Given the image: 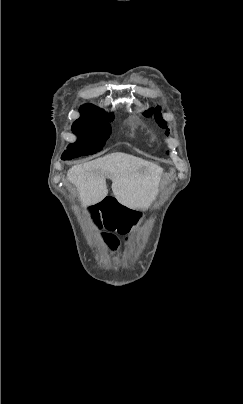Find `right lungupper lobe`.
Returning <instances> with one entry per match:
<instances>
[{
	"mask_svg": "<svg viewBox=\"0 0 243 404\" xmlns=\"http://www.w3.org/2000/svg\"><path fill=\"white\" fill-rule=\"evenodd\" d=\"M103 113H104L103 109H100L93 104H86L80 107L81 117L94 116Z\"/></svg>",
	"mask_w": 243,
	"mask_h": 404,
	"instance_id": "cb5924a9",
	"label": "right lung upper lobe"
}]
</instances>
